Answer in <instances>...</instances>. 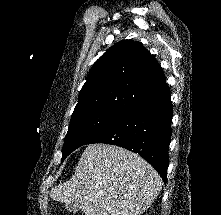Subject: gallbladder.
I'll use <instances>...</instances> for the list:
<instances>
[{
    "label": "gallbladder",
    "instance_id": "gallbladder-1",
    "mask_svg": "<svg viewBox=\"0 0 221 215\" xmlns=\"http://www.w3.org/2000/svg\"><path fill=\"white\" fill-rule=\"evenodd\" d=\"M65 209L69 212H78L81 209V202H69L65 204Z\"/></svg>",
    "mask_w": 221,
    "mask_h": 215
}]
</instances>
